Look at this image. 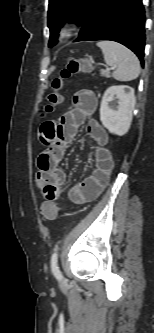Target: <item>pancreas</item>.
Here are the masks:
<instances>
[{
	"instance_id": "cf45deb5",
	"label": "pancreas",
	"mask_w": 154,
	"mask_h": 333,
	"mask_svg": "<svg viewBox=\"0 0 154 333\" xmlns=\"http://www.w3.org/2000/svg\"><path fill=\"white\" fill-rule=\"evenodd\" d=\"M100 74L103 77L110 78V72H109V70H100Z\"/></svg>"
}]
</instances>
